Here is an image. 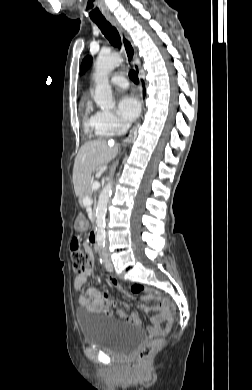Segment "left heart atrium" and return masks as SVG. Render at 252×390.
I'll return each mask as SVG.
<instances>
[{"mask_svg": "<svg viewBox=\"0 0 252 390\" xmlns=\"http://www.w3.org/2000/svg\"><path fill=\"white\" fill-rule=\"evenodd\" d=\"M140 102L133 95H124L118 101V113L125 121L135 120L140 113Z\"/></svg>", "mask_w": 252, "mask_h": 390, "instance_id": "obj_1", "label": "left heart atrium"}]
</instances>
